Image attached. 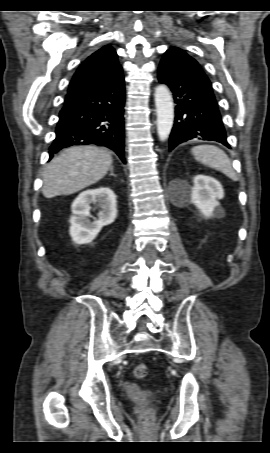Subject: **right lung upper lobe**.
<instances>
[{
  "label": "right lung upper lobe",
  "instance_id": "right-lung-upper-lobe-1",
  "mask_svg": "<svg viewBox=\"0 0 270 453\" xmlns=\"http://www.w3.org/2000/svg\"><path fill=\"white\" fill-rule=\"evenodd\" d=\"M122 71L115 50L106 45L90 55L70 81L68 93L102 86Z\"/></svg>",
  "mask_w": 270,
  "mask_h": 453
}]
</instances>
